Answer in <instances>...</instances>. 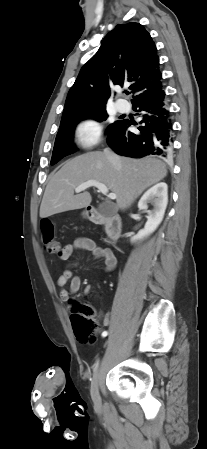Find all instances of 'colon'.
Returning a JSON list of instances; mask_svg holds the SVG:
<instances>
[{"mask_svg":"<svg viewBox=\"0 0 207 449\" xmlns=\"http://www.w3.org/2000/svg\"><path fill=\"white\" fill-rule=\"evenodd\" d=\"M43 244L48 253L59 252V244L55 238L54 226L49 220L41 224ZM95 310L88 304H74L71 315L72 329L76 337L83 343L93 345L97 340V322L94 320Z\"/></svg>","mask_w":207,"mask_h":449,"instance_id":"5ec220e1","label":"colon"}]
</instances>
